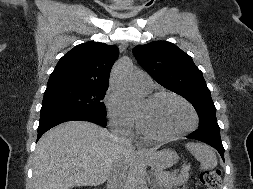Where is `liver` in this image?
Masks as SVG:
<instances>
[{
  "label": "liver",
  "mask_w": 253,
  "mask_h": 189,
  "mask_svg": "<svg viewBox=\"0 0 253 189\" xmlns=\"http://www.w3.org/2000/svg\"><path fill=\"white\" fill-rule=\"evenodd\" d=\"M121 151L106 129L86 121L62 123L38 141L33 156V189L98 186L111 166L133 159Z\"/></svg>",
  "instance_id": "1"
}]
</instances>
